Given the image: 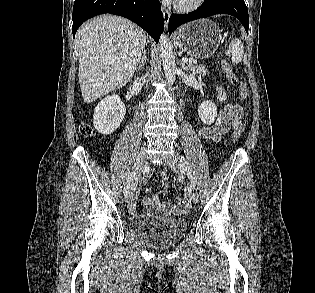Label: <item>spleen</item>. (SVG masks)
<instances>
[{
	"mask_svg": "<svg viewBox=\"0 0 315 293\" xmlns=\"http://www.w3.org/2000/svg\"><path fill=\"white\" fill-rule=\"evenodd\" d=\"M229 52L231 55V61L234 64H238L242 61L244 55V47L240 39L235 38L229 44Z\"/></svg>",
	"mask_w": 315,
	"mask_h": 293,
	"instance_id": "obj_1",
	"label": "spleen"
}]
</instances>
